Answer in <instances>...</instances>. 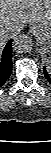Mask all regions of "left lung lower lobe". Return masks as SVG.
Returning a JSON list of instances; mask_svg holds the SVG:
<instances>
[{"instance_id": "left-lung-lower-lobe-1", "label": "left lung lower lobe", "mask_w": 51, "mask_h": 153, "mask_svg": "<svg viewBox=\"0 0 51 153\" xmlns=\"http://www.w3.org/2000/svg\"><path fill=\"white\" fill-rule=\"evenodd\" d=\"M43 73H44L46 79L51 83V77L48 75L45 68H43Z\"/></svg>"}]
</instances>
